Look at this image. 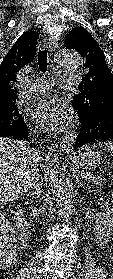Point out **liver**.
<instances>
[{"label":"liver","instance_id":"6515ba94","mask_svg":"<svg viewBox=\"0 0 113 279\" xmlns=\"http://www.w3.org/2000/svg\"><path fill=\"white\" fill-rule=\"evenodd\" d=\"M39 160V154L25 142L0 137V205L28 192Z\"/></svg>","mask_w":113,"mask_h":279}]
</instances>
